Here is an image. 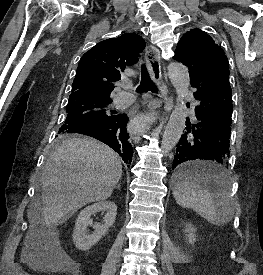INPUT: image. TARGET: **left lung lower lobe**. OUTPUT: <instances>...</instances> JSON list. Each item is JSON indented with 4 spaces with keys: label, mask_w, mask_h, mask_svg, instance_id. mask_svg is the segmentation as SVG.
Returning a JSON list of instances; mask_svg holds the SVG:
<instances>
[{
    "label": "left lung lower lobe",
    "mask_w": 263,
    "mask_h": 275,
    "mask_svg": "<svg viewBox=\"0 0 263 275\" xmlns=\"http://www.w3.org/2000/svg\"><path fill=\"white\" fill-rule=\"evenodd\" d=\"M196 88L194 97L200 102L195 108L197 122L187 118L185 131L176 148L172 167L180 180L198 181L212 189H218L223 175L192 165V161L212 160L222 165L230 157L229 142L232 116V91L227 76L209 81L190 77ZM189 107V105H188ZM217 190V191H218Z\"/></svg>",
    "instance_id": "1"
}]
</instances>
